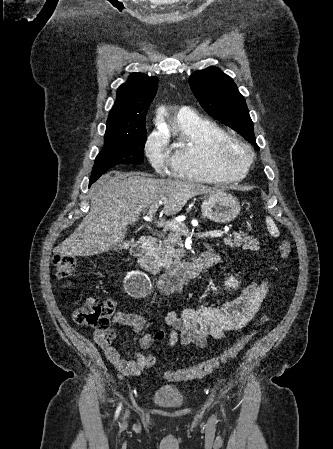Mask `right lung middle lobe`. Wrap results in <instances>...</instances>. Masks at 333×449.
<instances>
[{
	"label": "right lung middle lobe",
	"instance_id": "obj_1",
	"mask_svg": "<svg viewBox=\"0 0 333 449\" xmlns=\"http://www.w3.org/2000/svg\"><path fill=\"white\" fill-rule=\"evenodd\" d=\"M147 139L145 127L137 135H105L104 147L97 155L90 179H98L118 164L139 165L144 161L143 149Z\"/></svg>",
	"mask_w": 333,
	"mask_h": 449
}]
</instances>
